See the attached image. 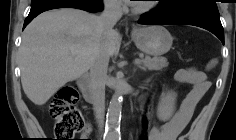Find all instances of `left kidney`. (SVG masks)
Here are the masks:
<instances>
[{
    "mask_svg": "<svg viewBox=\"0 0 236 140\" xmlns=\"http://www.w3.org/2000/svg\"><path fill=\"white\" fill-rule=\"evenodd\" d=\"M176 95L173 92H167L160 98L157 107V116L162 121L169 120L175 111Z\"/></svg>",
    "mask_w": 236,
    "mask_h": 140,
    "instance_id": "5707ae66",
    "label": "left kidney"
}]
</instances>
